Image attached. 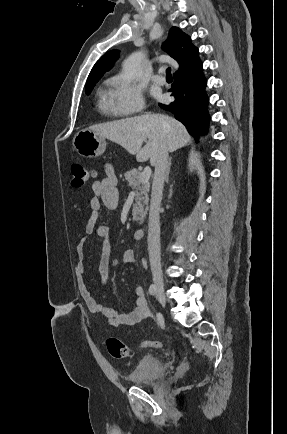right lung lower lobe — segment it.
<instances>
[{
	"mask_svg": "<svg viewBox=\"0 0 287 434\" xmlns=\"http://www.w3.org/2000/svg\"><path fill=\"white\" fill-rule=\"evenodd\" d=\"M206 85L207 80L203 75V65L198 53L187 65L175 72L174 83L169 90L174 101L159 104L164 110L172 112L196 140L207 132L210 121Z\"/></svg>",
	"mask_w": 287,
	"mask_h": 434,
	"instance_id": "right-lung-lower-lobe-1",
	"label": "right lung lower lobe"
}]
</instances>
